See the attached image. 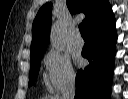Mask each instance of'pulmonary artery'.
<instances>
[{"label":"pulmonary artery","instance_id":"pulmonary-artery-1","mask_svg":"<svg viewBox=\"0 0 128 99\" xmlns=\"http://www.w3.org/2000/svg\"><path fill=\"white\" fill-rule=\"evenodd\" d=\"M73 44L76 46H82L84 44L82 37L79 33H76L73 37Z\"/></svg>","mask_w":128,"mask_h":99}]
</instances>
